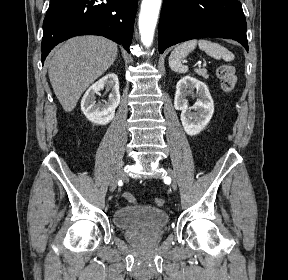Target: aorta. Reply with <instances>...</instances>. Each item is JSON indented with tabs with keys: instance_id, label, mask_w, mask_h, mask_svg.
Masks as SVG:
<instances>
[{
	"instance_id": "1",
	"label": "aorta",
	"mask_w": 288,
	"mask_h": 280,
	"mask_svg": "<svg viewBox=\"0 0 288 280\" xmlns=\"http://www.w3.org/2000/svg\"><path fill=\"white\" fill-rule=\"evenodd\" d=\"M162 0H142L139 15V32L144 46L150 47L153 42L154 32Z\"/></svg>"
}]
</instances>
